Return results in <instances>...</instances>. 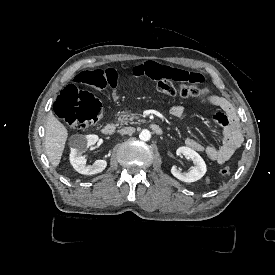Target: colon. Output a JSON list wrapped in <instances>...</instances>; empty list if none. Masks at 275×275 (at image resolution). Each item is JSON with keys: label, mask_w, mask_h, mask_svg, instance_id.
I'll return each instance as SVG.
<instances>
[{"label": "colon", "mask_w": 275, "mask_h": 275, "mask_svg": "<svg viewBox=\"0 0 275 275\" xmlns=\"http://www.w3.org/2000/svg\"><path fill=\"white\" fill-rule=\"evenodd\" d=\"M74 85L65 87L53 103L55 115L65 121L72 129L83 130L98 123L102 114L101 101L90 92H108L102 72H93L91 68H78ZM87 88L90 92L79 89ZM156 91L164 97L182 99L197 98L211 100L213 92L205 85H191L168 79L156 85ZM229 167L220 169V175L228 177Z\"/></svg>", "instance_id": "1"}]
</instances>
